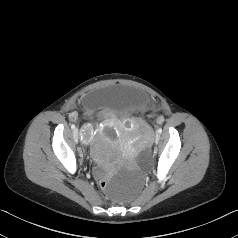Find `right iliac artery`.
Masks as SVG:
<instances>
[{
    "instance_id": "right-iliac-artery-1",
    "label": "right iliac artery",
    "mask_w": 238,
    "mask_h": 238,
    "mask_svg": "<svg viewBox=\"0 0 238 238\" xmlns=\"http://www.w3.org/2000/svg\"><path fill=\"white\" fill-rule=\"evenodd\" d=\"M71 128H72V129H75V125H74V124H72V125H71Z\"/></svg>"
}]
</instances>
